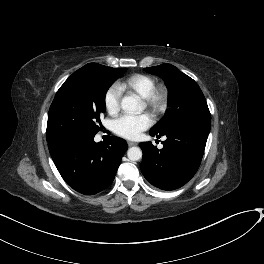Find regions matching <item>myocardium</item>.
I'll return each instance as SVG.
<instances>
[{
  "label": "myocardium",
  "mask_w": 264,
  "mask_h": 264,
  "mask_svg": "<svg viewBox=\"0 0 264 264\" xmlns=\"http://www.w3.org/2000/svg\"><path fill=\"white\" fill-rule=\"evenodd\" d=\"M145 107L154 115L165 112L168 105V89L166 86H156L151 93L143 98Z\"/></svg>",
  "instance_id": "1"
}]
</instances>
